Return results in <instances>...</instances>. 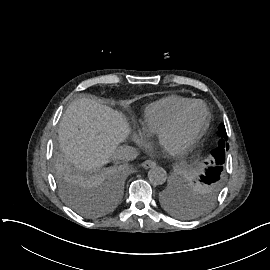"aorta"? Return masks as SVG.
<instances>
[{
	"instance_id": "obj_1",
	"label": "aorta",
	"mask_w": 270,
	"mask_h": 270,
	"mask_svg": "<svg viewBox=\"0 0 270 270\" xmlns=\"http://www.w3.org/2000/svg\"><path fill=\"white\" fill-rule=\"evenodd\" d=\"M148 178L152 184L161 185L166 181L167 174L162 167L155 165L148 171Z\"/></svg>"
}]
</instances>
